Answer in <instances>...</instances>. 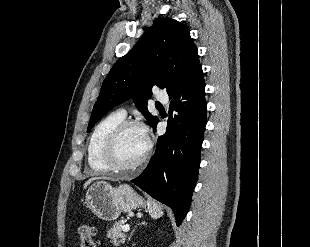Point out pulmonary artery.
Segmentation results:
<instances>
[{"label":"pulmonary artery","mask_w":310,"mask_h":247,"mask_svg":"<svg viewBox=\"0 0 310 247\" xmlns=\"http://www.w3.org/2000/svg\"><path fill=\"white\" fill-rule=\"evenodd\" d=\"M156 99L162 103H165V104L168 103V95L166 93H161V92L157 93ZM119 112L125 116L124 110H120Z\"/></svg>","instance_id":"e3ab8cb5"}]
</instances>
